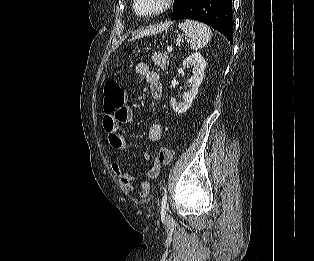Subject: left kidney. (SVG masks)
<instances>
[{"instance_id":"obj_1","label":"left kidney","mask_w":314,"mask_h":261,"mask_svg":"<svg viewBox=\"0 0 314 261\" xmlns=\"http://www.w3.org/2000/svg\"><path fill=\"white\" fill-rule=\"evenodd\" d=\"M206 64V60L197 52L192 53L183 61V67H193V76L188 80L190 89L184 93L183 100L177 102L175 98H171V106L176 114H182L190 108L193 100L197 96L198 88L203 81Z\"/></svg>"}]
</instances>
